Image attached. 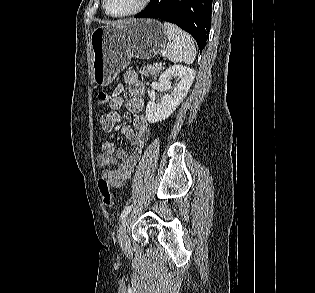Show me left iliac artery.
Wrapping results in <instances>:
<instances>
[{"label":"left iliac artery","mask_w":315,"mask_h":293,"mask_svg":"<svg viewBox=\"0 0 315 293\" xmlns=\"http://www.w3.org/2000/svg\"><path fill=\"white\" fill-rule=\"evenodd\" d=\"M131 209H132V205L125 207L120 215V220L126 217Z\"/></svg>","instance_id":"left-iliac-artery-1"}]
</instances>
